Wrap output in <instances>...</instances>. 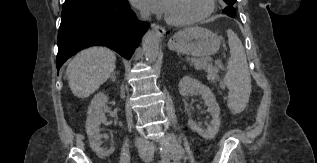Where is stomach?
Masks as SVG:
<instances>
[{
    "instance_id": "0dacf381",
    "label": "stomach",
    "mask_w": 317,
    "mask_h": 163,
    "mask_svg": "<svg viewBox=\"0 0 317 163\" xmlns=\"http://www.w3.org/2000/svg\"><path fill=\"white\" fill-rule=\"evenodd\" d=\"M169 48L183 54L204 57L220 48L219 36L202 27H190L177 32L169 41Z\"/></svg>"
}]
</instances>
